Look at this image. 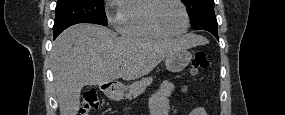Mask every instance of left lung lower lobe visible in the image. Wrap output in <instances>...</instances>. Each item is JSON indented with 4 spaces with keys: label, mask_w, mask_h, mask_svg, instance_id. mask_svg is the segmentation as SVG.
<instances>
[{
    "label": "left lung lower lobe",
    "mask_w": 285,
    "mask_h": 115,
    "mask_svg": "<svg viewBox=\"0 0 285 115\" xmlns=\"http://www.w3.org/2000/svg\"><path fill=\"white\" fill-rule=\"evenodd\" d=\"M217 26H218L217 20H216V18H214V19H210V20L202 22L201 24H199L195 28V30L208 31V32L212 33L217 38V40H219Z\"/></svg>",
    "instance_id": "obj_1"
}]
</instances>
